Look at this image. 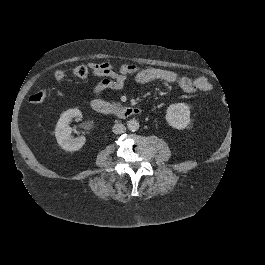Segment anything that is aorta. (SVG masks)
I'll return each instance as SVG.
<instances>
[{
  "label": "aorta",
  "mask_w": 265,
  "mask_h": 265,
  "mask_svg": "<svg viewBox=\"0 0 265 265\" xmlns=\"http://www.w3.org/2000/svg\"><path fill=\"white\" fill-rule=\"evenodd\" d=\"M127 127L131 131H137L139 129V123L135 119H130L127 121Z\"/></svg>",
  "instance_id": "aorta-1"
}]
</instances>
